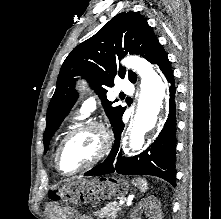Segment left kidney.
I'll return each instance as SVG.
<instances>
[{
	"label": "left kidney",
	"mask_w": 221,
	"mask_h": 219,
	"mask_svg": "<svg viewBox=\"0 0 221 219\" xmlns=\"http://www.w3.org/2000/svg\"><path fill=\"white\" fill-rule=\"evenodd\" d=\"M148 213L149 219H162L160 204L154 196L148 197L141 202L132 213V219H140L139 215Z\"/></svg>",
	"instance_id": "5707ae66"
}]
</instances>
